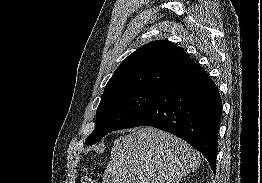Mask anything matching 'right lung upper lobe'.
I'll list each match as a JSON object with an SVG mask.
<instances>
[{
	"instance_id": "1",
	"label": "right lung upper lobe",
	"mask_w": 262,
	"mask_h": 183,
	"mask_svg": "<svg viewBox=\"0 0 262 183\" xmlns=\"http://www.w3.org/2000/svg\"><path fill=\"white\" fill-rule=\"evenodd\" d=\"M199 66L176 44L152 41L130 54L108 81L103 95L113 92L159 90Z\"/></svg>"
}]
</instances>
